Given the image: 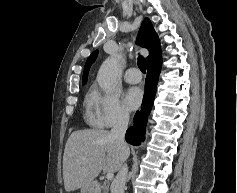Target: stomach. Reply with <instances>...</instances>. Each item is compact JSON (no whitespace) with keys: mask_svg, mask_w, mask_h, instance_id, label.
Returning a JSON list of instances; mask_svg holds the SVG:
<instances>
[{"mask_svg":"<svg viewBox=\"0 0 237 193\" xmlns=\"http://www.w3.org/2000/svg\"><path fill=\"white\" fill-rule=\"evenodd\" d=\"M80 193H98L97 185L94 182L89 183L81 188Z\"/></svg>","mask_w":237,"mask_h":193,"instance_id":"0dacf381","label":"stomach"}]
</instances>
